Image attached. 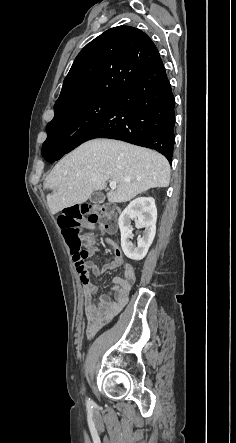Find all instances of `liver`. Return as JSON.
<instances>
[{
    "mask_svg": "<svg viewBox=\"0 0 236 443\" xmlns=\"http://www.w3.org/2000/svg\"><path fill=\"white\" fill-rule=\"evenodd\" d=\"M117 188L107 193L111 203L131 200L151 188L169 185L170 165L153 150L110 139L85 142L66 155L47 176L45 187L51 214L81 204L107 181Z\"/></svg>",
    "mask_w": 236,
    "mask_h": 443,
    "instance_id": "liver-1",
    "label": "liver"
}]
</instances>
